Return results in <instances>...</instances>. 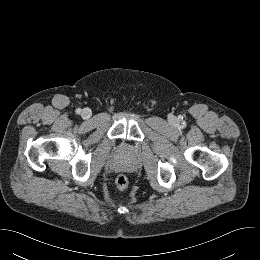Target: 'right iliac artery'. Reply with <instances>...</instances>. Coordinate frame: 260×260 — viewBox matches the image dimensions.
I'll list each match as a JSON object with an SVG mask.
<instances>
[{
    "mask_svg": "<svg viewBox=\"0 0 260 260\" xmlns=\"http://www.w3.org/2000/svg\"><path fill=\"white\" fill-rule=\"evenodd\" d=\"M76 113L80 114L81 113V109L80 108L76 109Z\"/></svg>",
    "mask_w": 260,
    "mask_h": 260,
    "instance_id": "82829eb1",
    "label": "right iliac artery"
}]
</instances>
